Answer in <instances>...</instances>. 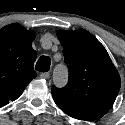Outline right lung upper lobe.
<instances>
[{
  "label": "right lung upper lobe",
  "mask_w": 125,
  "mask_h": 125,
  "mask_svg": "<svg viewBox=\"0 0 125 125\" xmlns=\"http://www.w3.org/2000/svg\"><path fill=\"white\" fill-rule=\"evenodd\" d=\"M34 32L19 24L0 29V107L14 101L36 77Z\"/></svg>",
  "instance_id": "right-lung-upper-lobe-1"
}]
</instances>
